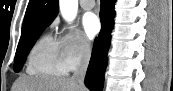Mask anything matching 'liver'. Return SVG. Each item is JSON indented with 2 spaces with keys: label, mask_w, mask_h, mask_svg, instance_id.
<instances>
[{
  "label": "liver",
  "mask_w": 173,
  "mask_h": 91,
  "mask_svg": "<svg viewBox=\"0 0 173 91\" xmlns=\"http://www.w3.org/2000/svg\"><path fill=\"white\" fill-rule=\"evenodd\" d=\"M12 91H86L69 78H38L21 76Z\"/></svg>",
  "instance_id": "liver-1"
}]
</instances>
